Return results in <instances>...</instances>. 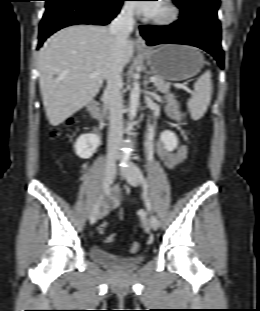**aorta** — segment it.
Masks as SVG:
<instances>
[{
    "label": "aorta",
    "mask_w": 260,
    "mask_h": 311,
    "mask_svg": "<svg viewBox=\"0 0 260 311\" xmlns=\"http://www.w3.org/2000/svg\"><path fill=\"white\" fill-rule=\"evenodd\" d=\"M134 82L130 93V101H129V117L133 119L136 116L137 108L140 103V88L138 83L139 75H134Z\"/></svg>",
    "instance_id": "1"
}]
</instances>
